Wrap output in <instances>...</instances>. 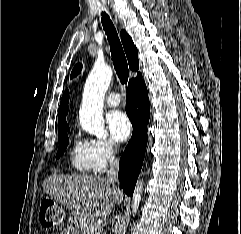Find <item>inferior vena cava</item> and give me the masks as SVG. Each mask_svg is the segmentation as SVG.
<instances>
[{"mask_svg":"<svg viewBox=\"0 0 241 234\" xmlns=\"http://www.w3.org/2000/svg\"><path fill=\"white\" fill-rule=\"evenodd\" d=\"M110 168L107 171V181L114 185L118 181L119 161L114 157L110 158Z\"/></svg>","mask_w":241,"mask_h":234,"instance_id":"obj_1","label":"inferior vena cava"}]
</instances>
